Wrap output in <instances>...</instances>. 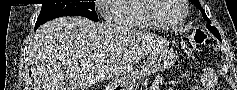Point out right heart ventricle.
Listing matches in <instances>:
<instances>
[{
  "instance_id": "obj_1",
  "label": "right heart ventricle",
  "mask_w": 237,
  "mask_h": 90,
  "mask_svg": "<svg viewBox=\"0 0 237 90\" xmlns=\"http://www.w3.org/2000/svg\"><path fill=\"white\" fill-rule=\"evenodd\" d=\"M149 0H118L116 4L108 7V24L114 28H141L156 29V23L150 20V14H143Z\"/></svg>"
}]
</instances>
